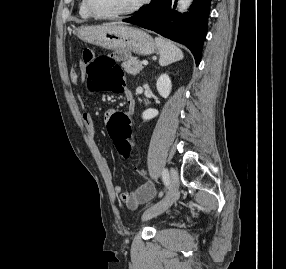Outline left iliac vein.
Instances as JSON below:
<instances>
[{
  "label": "left iliac vein",
  "instance_id": "left-iliac-vein-1",
  "mask_svg": "<svg viewBox=\"0 0 286 269\" xmlns=\"http://www.w3.org/2000/svg\"><path fill=\"white\" fill-rule=\"evenodd\" d=\"M179 190V178L175 168L170 170V185L167 195L157 204L147 209L143 215L144 220L152 219L163 212L173 204Z\"/></svg>",
  "mask_w": 286,
  "mask_h": 269
}]
</instances>
